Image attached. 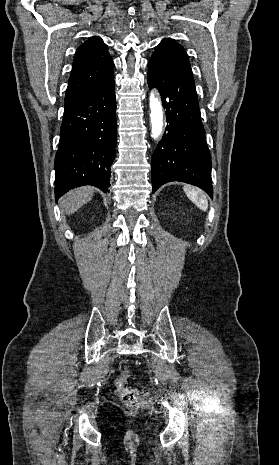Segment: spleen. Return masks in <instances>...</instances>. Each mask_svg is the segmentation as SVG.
Instances as JSON below:
<instances>
[{"label":"spleen","mask_w":279,"mask_h":465,"mask_svg":"<svg viewBox=\"0 0 279 465\" xmlns=\"http://www.w3.org/2000/svg\"><path fill=\"white\" fill-rule=\"evenodd\" d=\"M187 197L201 210L206 211L208 208V201L206 196L199 189H192L191 187L184 186L183 188Z\"/></svg>","instance_id":"3e777b00"}]
</instances>
